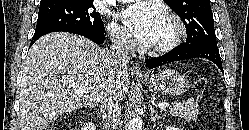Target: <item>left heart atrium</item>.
Listing matches in <instances>:
<instances>
[{
  "label": "left heart atrium",
  "mask_w": 249,
  "mask_h": 130,
  "mask_svg": "<svg viewBox=\"0 0 249 130\" xmlns=\"http://www.w3.org/2000/svg\"><path fill=\"white\" fill-rule=\"evenodd\" d=\"M120 18L137 40L152 46L165 19L162 8L152 1L136 2L120 13Z\"/></svg>",
  "instance_id": "39dd6f15"
}]
</instances>
